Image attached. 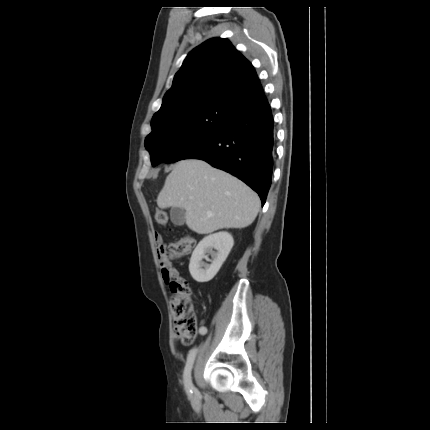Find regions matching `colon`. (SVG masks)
I'll use <instances>...</instances> for the list:
<instances>
[{"instance_id":"1","label":"colon","mask_w":430,"mask_h":430,"mask_svg":"<svg viewBox=\"0 0 430 430\" xmlns=\"http://www.w3.org/2000/svg\"><path fill=\"white\" fill-rule=\"evenodd\" d=\"M155 220L159 225H166L168 216L164 211L158 210L155 213ZM193 245V239L183 237L168 246L165 244L157 246V252H165L169 259L177 258L188 254ZM173 282L170 291L174 330L184 344H190L197 335V317L191 300V290L187 281L181 277H173Z\"/></svg>"}]
</instances>
